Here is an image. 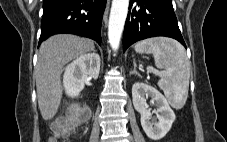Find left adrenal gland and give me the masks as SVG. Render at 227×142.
<instances>
[{
  "label": "left adrenal gland",
  "mask_w": 227,
  "mask_h": 142,
  "mask_svg": "<svg viewBox=\"0 0 227 142\" xmlns=\"http://www.w3.org/2000/svg\"><path fill=\"white\" fill-rule=\"evenodd\" d=\"M133 74H136V65H135V63H134V69H133V71L130 72V75H133Z\"/></svg>",
  "instance_id": "a2214340"
}]
</instances>
